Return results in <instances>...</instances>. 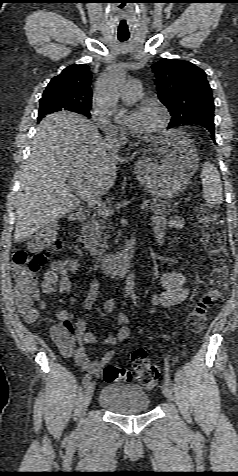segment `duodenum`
<instances>
[{"mask_svg":"<svg viewBox=\"0 0 238 476\" xmlns=\"http://www.w3.org/2000/svg\"><path fill=\"white\" fill-rule=\"evenodd\" d=\"M89 217V213L86 211H80L76 214L74 220L79 223L85 222ZM137 242L136 239H130L125 247L113 254H105L96 258V262L100 266L101 271L106 276H113L122 274L125 272L131 265L132 257L136 251ZM73 251L79 256L84 257L86 255L85 251L81 247L78 241L72 242Z\"/></svg>","mask_w":238,"mask_h":476,"instance_id":"410a0bca","label":"duodenum"}]
</instances>
